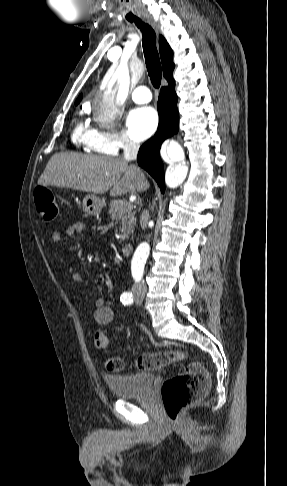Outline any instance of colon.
I'll list each match as a JSON object with an SVG mask.
<instances>
[{
  "mask_svg": "<svg viewBox=\"0 0 287 486\" xmlns=\"http://www.w3.org/2000/svg\"><path fill=\"white\" fill-rule=\"evenodd\" d=\"M34 201L40 217L52 221L58 216L59 208L54 193L45 186L34 190ZM94 345L97 350L107 351L109 339L103 332H96ZM187 361L185 370L166 379L161 388V396L167 418L176 423L181 410L202 397L209 389L210 380L207 370L198 362L189 359L188 355L177 350H166L139 355L135 367L141 371L158 370L167 365ZM105 368L119 372L124 368V361L118 356L105 360Z\"/></svg>",
  "mask_w": 287,
  "mask_h": 486,
  "instance_id": "5ec220e1",
  "label": "colon"
}]
</instances>
